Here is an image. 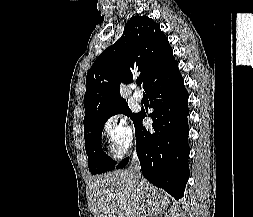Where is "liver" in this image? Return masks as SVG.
I'll return each instance as SVG.
<instances>
[{"instance_id":"liver-1","label":"liver","mask_w":253,"mask_h":217,"mask_svg":"<svg viewBox=\"0 0 253 217\" xmlns=\"http://www.w3.org/2000/svg\"><path fill=\"white\" fill-rule=\"evenodd\" d=\"M91 189L94 217H153L167 206L156 187L130 170L95 176Z\"/></svg>"}]
</instances>
